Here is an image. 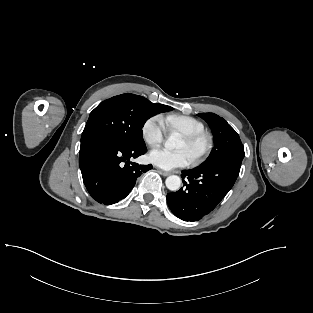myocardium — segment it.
Instances as JSON below:
<instances>
[{
	"instance_id": "f54148a6",
	"label": "myocardium",
	"mask_w": 313,
	"mask_h": 313,
	"mask_svg": "<svg viewBox=\"0 0 313 313\" xmlns=\"http://www.w3.org/2000/svg\"><path fill=\"white\" fill-rule=\"evenodd\" d=\"M182 139L189 145H195L199 142H203L202 150L191 160L192 165H198L202 163L213 149V137L209 132L206 131L182 135Z\"/></svg>"
}]
</instances>
